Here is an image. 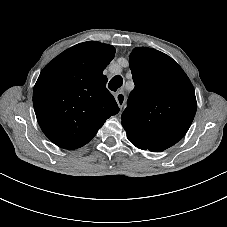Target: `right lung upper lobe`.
<instances>
[{
    "label": "right lung upper lobe",
    "mask_w": 227,
    "mask_h": 227,
    "mask_svg": "<svg viewBox=\"0 0 227 227\" xmlns=\"http://www.w3.org/2000/svg\"><path fill=\"white\" fill-rule=\"evenodd\" d=\"M114 55L111 45L83 42L62 52L40 73L34 110L42 131L57 146L82 147L119 112L103 75Z\"/></svg>",
    "instance_id": "1"
}]
</instances>
